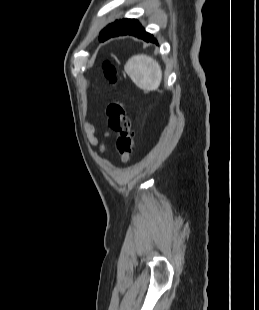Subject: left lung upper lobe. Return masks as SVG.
I'll use <instances>...</instances> for the list:
<instances>
[{"instance_id": "left-lung-upper-lobe-1", "label": "left lung upper lobe", "mask_w": 259, "mask_h": 310, "mask_svg": "<svg viewBox=\"0 0 259 310\" xmlns=\"http://www.w3.org/2000/svg\"><path fill=\"white\" fill-rule=\"evenodd\" d=\"M120 22L116 20L114 23L109 24L105 29L101 31L100 39L106 37L109 33H111Z\"/></svg>"}]
</instances>
